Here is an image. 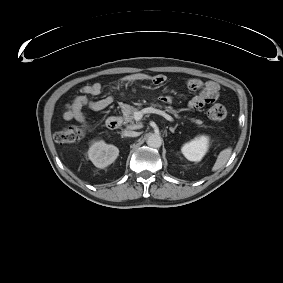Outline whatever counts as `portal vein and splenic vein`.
Listing matches in <instances>:
<instances>
[{"label": "portal vein and splenic vein", "mask_w": 283, "mask_h": 283, "mask_svg": "<svg viewBox=\"0 0 283 283\" xmlns=\"http://www.w3.org/2000/svg\"><path fill=\"white\" fill-rule=\"evenodd\" d=\"M148 113H155V114L163 116L166 120L170 122L173 121V118L169 114L165 113L162 110L156 109L154 107H147V108H143L140 111L134 112V119L138 122L142 119L144 114H148Z\"/></svg>", "instance_id": "portal-vein-and-splenic-vein-1"}]
</instances>
